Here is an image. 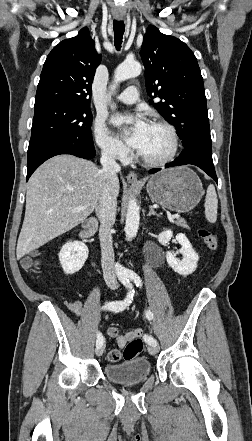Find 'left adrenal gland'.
<instances>
[{
	"instance_id": "left-adrenal-gland-1",
	"label": "left adrenal gland",
	"mask_w": 252,
	"mask_h": 441,
	"mask_svg": "<svg viewBox=\"0 0 252 441\" xmlns=\"http://www.w3.org/2000/svg\"><path fill=\"white\" fill-rule=\"evenodd\" d=\"M149 213L147 214V216L149 217V216H151V215H155V216H157V217H160V215L159 214H157L156 212H155V210L153 209V207L150 205L149 206Z\"/></svg>"
}]
</instances>
